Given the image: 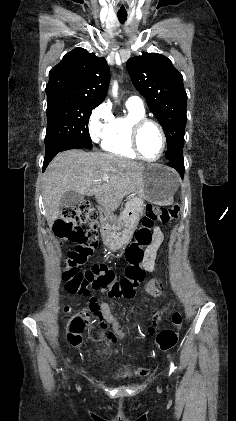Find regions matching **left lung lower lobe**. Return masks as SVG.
I'll return each instance as SVG.
<instances>
[{"mask_svg":"<svg viewBox=\"0 0 236 421\" xmlns=\"http://www.w3.org/2000/svg\"><path fill=\"white\" fill-rule=\"evenodd\" d=\"M167 165L176 169L179 172V174L181 175V178L184 177V161H183V159H181V160L176 159V160L167 161Z\"/></svg>","mask_w":236,"mask_h":421,"instance_id":"0a47b994","label":"left lung lower lobe"}]
</instances>
